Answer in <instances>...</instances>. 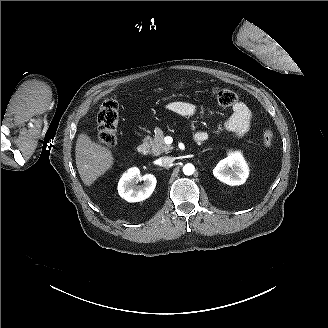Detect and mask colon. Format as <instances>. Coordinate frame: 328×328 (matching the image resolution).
<instances>
[{
  "mask_svg": "<svg viewBox=\"0 0 328 328\" xmlns=\"http://www.w3.org/2000/svg\"><path fill=\"white\" fill-rule=\"evenodd\" d=\"M212 94L221 106H230L237 101L234 91L227 88L215 87ZM119 121V105L115 98L104 101L99 109L97 116L98 142L106 147H112L117 141V126ZM273 133L266 129L263 133V145L266 148L272 146Z\"/></svg>",
  "mask_w": 328,
  "mask_h": 328,
  "instance_id": "1",
  "label": "colon"
}]
</instances>
